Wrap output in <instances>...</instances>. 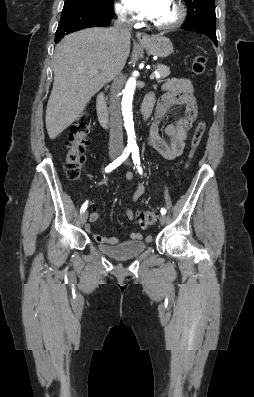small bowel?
I'll list each match as a JSON object with an SVG mask.
<instances>
[{"label":"small bowel","mask_w":254,"mask_h":397,"mask_svg":"<svg viewBox=\"0 0 254 397\" xmlns=\"http://www.w3.org/2000/svg\"><path fill=\"white\" fill-rule=\"evenodd\" d=\"M162 89L164 94L159 98L155 111L154 120L150 127L148 145L151 149L156 150L166 161H172L181 156L184 151L185 140L193 122L197 117V103L193 92V85L190 80L185 78H171L167 80ZM154 97V94L151 93ZM174 105H184V114L176 123L169 124L165 127V134L170 138L168 143L159 134V125L167 111ZM134 177L133 173L126 174V180L130 181ZM145 191L144 184L140 183L132 195V201L137 202ZM125 215L129 220L134 219V213L128 205L125 209ZM100 214L93 207L89 216L90 223L99 220ZM93 239L101 244H116L118 239L115 237L102 236L96 233L90 224L85 227ZM131 240L137 241L142 239V234L133 232L130 234Z\"/></svg>","instance_id":"small-bowel-1"}]
</instances>
